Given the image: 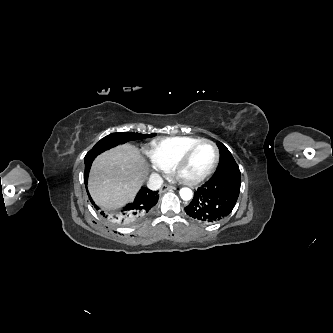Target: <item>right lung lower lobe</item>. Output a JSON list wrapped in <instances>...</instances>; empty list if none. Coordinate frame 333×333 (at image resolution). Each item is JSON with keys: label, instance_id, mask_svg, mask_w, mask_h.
I'll return each mask as SVG.
<instances>
[{"label": "right lung lower lobe", "instance_id": "right-lung-lower-lobe-1", "mask_svg": "<svg viewBox=\"0 0 333 333\" xmlns=\"http://www.w3.org/2000/svg\"><path fill=\"white\" fill-rule=\"evenodd\" d=\"M97 155H89L88 153L85 156V172H84V182L85 186L87 188V181H88V175L90 171L91 164L93 160L95 159ZM89 199L91 203L94 205L96 210L104 217L112 219L111 213L100 209L97 205L94 204L93 200L91 199L90 195ZM159 195L158 191H151L146 187H142L137 194L136 198L132 203L127 204L123 209L121 210V213H119L118 216H115V219H112L114 222H116L118 225H127L135 218H138L140 216L145 215L149 210L156 205L158 202Z\"/></svg>", "mask_w": 333, "mask_h": 333}]
</instances>
